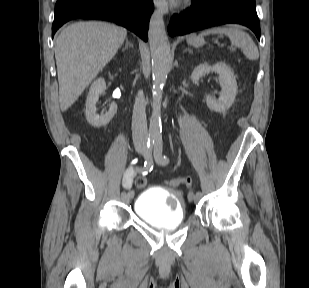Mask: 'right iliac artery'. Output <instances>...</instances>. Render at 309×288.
<instances>
[{
  "label": "right iliac artery",
  "instance_id": "obj_1",
  "mask_svg": "<svg viewBox=\"0 0 309 288\" xmlns=\"http://www.w3.org/2000/svg\"><path fill=\"white\" fill-rule=\"evenodd\" d=\"M154 144H155V140L154 139H148V141H147L148 155L146 156V160H145V162L143 164L144 170L152 171V169H153V159H152L151 152H152ZM128 195L131 198L134 197L135 194H134L132 188L128 189Z\"/></svg>",
  "mask_w": 309,
  "mask_h": 288
}]
</instances>
